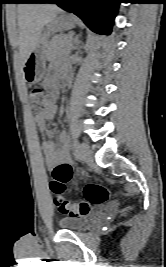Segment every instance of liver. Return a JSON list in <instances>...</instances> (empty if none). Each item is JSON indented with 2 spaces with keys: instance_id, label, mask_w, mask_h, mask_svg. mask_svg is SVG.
Returning <instances> with one entry per match:
<instances>
[{
  "instance_id": "1",
  "label": "liver",
  "mask_w": 166,
  "mask_h": 267,
  "mask_svg": "<svg viewBox=\"0 0 166 267\" xmlns=\"http://www.w3.org/2000/svg\"><path fill=\"white\" fill-rule=\"evenodd\" d=\"M62 10L51 4H20L18 6V46L23 63L37 43L43 28Z\"/></svg>"
}]
</instances>
